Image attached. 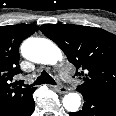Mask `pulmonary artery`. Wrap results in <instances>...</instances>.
Masks as SVG:
<instances>
[{
	"label": "pulmonary artery",
	"mask_w": 116,
	"mask_h": 116,
	"mask_svg": "<svg viewBox=\"0 0 116 116\" xmlns=\"http://www.w3.org/2000/svg\"><path fill=\"white\" fill-rule=\"evenodd\" d=\"M62 76L65 77L66 75L63 73Z\"/></svg>",
	"instance_id": "1"
}]
</instances>
